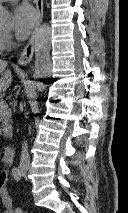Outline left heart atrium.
Masks as SVG:
<instances>
[{"instance_id":"39dd6f15","label":"left heart atrium","mask_w":128,"mask_h":213,"mask_svg":"<svg viewBox=\"0 0 128 213\" xmlns=\"http://www.w3.org/2000/svg\"><path fill=\"white\" fill-rule=\"evenodd\" d=\"M13 32L18 40H24L31 32L35 21L36 13L33 8L24 3L13 9Z\"/></svg>"}]
</instances>
